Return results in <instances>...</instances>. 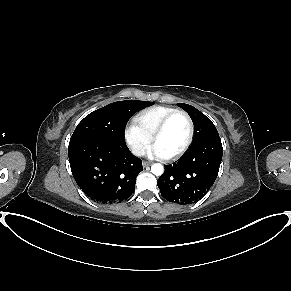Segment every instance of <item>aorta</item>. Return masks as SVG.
Returning a JSON list of instances; mask_svg holds the SVG:
<instances>
[{"label": "aorta", "instance_id": "1", "mask_svg": "<svg viewBox=\"0 0 291 291\" xmlns=\"http://www.w3.org/2000/svg\"><path fill=\"white\" fill-rule=\"evenodd\" d=\"M151 172L156 175V176H160L163 174L164 172V168L161 164L159 163H156V164H153L152 167H151Z\"/></svg>", "mask_w": 291, "mask_h": 291}]
</instances>
